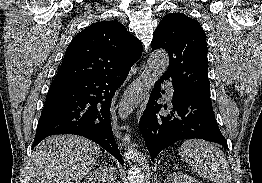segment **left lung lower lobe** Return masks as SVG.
<instances>
[{
    "instance_id": "0a47b994",
    "label": "left lung lower lobe",
    "mask_w": 262,
    "mask_h": 183,
    "mask_svg": "<svg viewBox=\"0 0 262 183\" xmlns=\"http://www.w3.org/2000/svg\"><path fill=\"white\" fill-rule=\"evenodd\" d=\"M169 78L163 74L154 85L140 120V130L152 161L161 150L183 139H204L228 149L227 141L216 123L210 96L191 92L172 81L171 111L169 114H158L162 105L157 104L156 100L165 93L160 91L159 84ZM164 108L167 109V105Z\"/></svg>"
}]
</instances>
